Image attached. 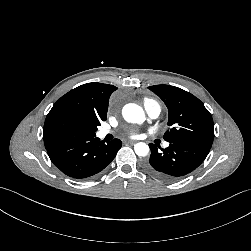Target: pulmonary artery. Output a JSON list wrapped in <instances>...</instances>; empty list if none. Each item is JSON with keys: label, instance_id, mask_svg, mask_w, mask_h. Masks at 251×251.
<instances>
[{"label": "pulmonary artery", "instance_id": "e3ab8cb5", "mask_svg": "<svg viewBox=\"0 0 251 251\" xmlns=\"http://www.w3.org/2000/svg\"><path fill=\"white\" fill-rule=\"evenodd\" d=\"M144 108H145V111H146L148 117L151 119H156L161 113L160 105L154 100H146L144 102ZM110 133H111V131L109 129H100L98 131V136L103 138ZM164 146L168 147L169 143L166 142L164 144Z\"/></svg>", "mask_w": 251, "mask_h": 251}]
</instances>
